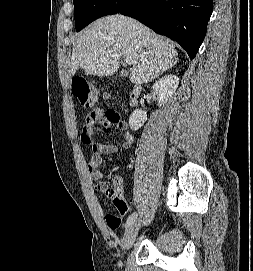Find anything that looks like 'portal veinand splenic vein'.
<instances>
[{"label":"portal vein and splenic vein","instance_id":"1","mask_svg":"<svg viewBox=\"0 0 253 271\" xmlns=\"http://www.w3.org/2000/svg\"><path fill=\"white\" fill-rule=\"evenodd\" d=\"M125 60V63L128 64V65H131L132 64V61L130 59H124Z\"/></svg>","mask_w":253,"mask_h":271}]
</instances>
